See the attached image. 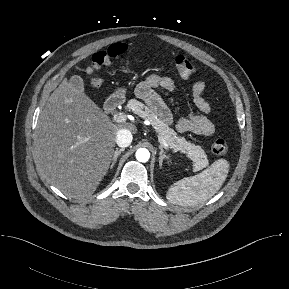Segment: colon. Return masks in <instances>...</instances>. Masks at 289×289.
<instances>
[{"instance_id": "obj_1", "label": "colon", "mask_w": 289, "mask_h": 289, "mask_svg": "<svg viewBox=\"0 0 289 289\" xmlns=\"http://www.w3.org/2000/svg\"><path fill=\"white\" fill-rule=\"evenodd\" d=\"M127 45L123 43H117L111 45L106 50L97 52L89 67V73L92 75L95 71L109 67L114 62L119 60L121 56L126 52ZM174 69L177 74L182 78H190L194 73V66L192 62L184 55H177L173 61ZM90 82L93 86H98L100 81L98 78L92 76ZM212 151L217 155H224L228 151V145L222 138H217L212 143Z\"/></svg>"}]
</instances>
